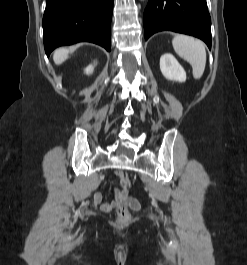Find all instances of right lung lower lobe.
I'll use <instances>...</instances> for the list:
<instances>
[{
	"mask_svg": "<svg viewBox=\"0 0 247 265\" xmlns=\"http://www.w3.org/2000/svg\"><path fill=\"white\" fill-rule=\"evenodd\" d=\"M113 0H46L43 16L45 52L81 41L111 49Z\"/></svg>",
	"mask_w": 247,
	"mask_h": 265,
	"instance_id": "obj_1",
	"label": "right lung lower lobe"
}]
</instances>
